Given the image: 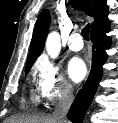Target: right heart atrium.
I'll list each match as a JSON object with an SVG mask.
<instances>
[{"label": "right heart atrium", "mask_w": 118, "mask_h": 123, "mask_svg": "<svg viewBox=\"0 0 118 123\" xmlns=\"http://www.w3.org/2000/svg\"><path fill=\"white\" fill-rule=\"evenodd\" d=\"M34 74L39 94L49 104L54 105L70 95V83L49 58L44 56L36 62Z\"/></svg>", "instance_id": "obj_1"}]
</instances>
